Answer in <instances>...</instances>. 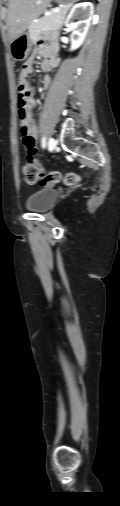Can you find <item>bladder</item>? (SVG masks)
<instances>
[{
	"instance_id": "bladder-1",
	"label": "bladder",
	"mask_w": 120,
	"mask_h": 506,
	"mask_svg": "<svg viewBox=\"0 0 120 506\" xmlns=\"http://www.w3.org/2000/svg\"><path fill=\"white\" fill-rule=\"evenodd\" d=\"M59 192L53 188H43L31 194L25 203L26 208L33 212H46L54 204Z\"/></svg>"
}]
</instances>
